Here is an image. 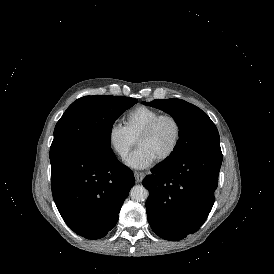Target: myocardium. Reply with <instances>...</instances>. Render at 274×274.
<instances>
[{
	"mask_svg": "<svg viewBox=\"0 0 274 274\" xmlns=\"http://www.w3.org/2000/svg\"><path fill=\"white\" fill-rule=\"evenodd\" d=\"M166 119L173 122L175 126V137L170 150L162 158L155 161V164L157 165L163 164L170 160L178 149L182 134V126L179 119L175 115L170 113L160 114L153 121H151L135 138L136 144L139 139L149 136L156 129L159 123Z\"/></svg>",
	"mask_w": 274,
	"mask_h": 274,
	"instance_id": "f54148a6",
	"label": "myocardium"
}]
</instances>
